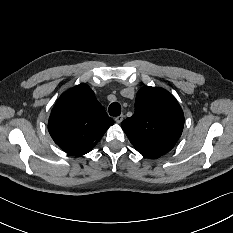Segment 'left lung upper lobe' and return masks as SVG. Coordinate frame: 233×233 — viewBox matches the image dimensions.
I'll use <instances>...</instances> for the list:
<instances>
[{"label":"left lung upper lobe","instance_id":"1","mask_svg":"<svg viewBox=\"0 0 233 233\" xmlns=\"http://www.w3.org/2000/svg\"><path fill=\"white\" fill-rule=\"evenodd\" d=\"M121 126L138 152L156 158L170 151L178 141L184 127V114L168 91L144 87L137 93L135 113Z\"/></svg>","mask_w":233,"mask_h":233}]
</instances>
